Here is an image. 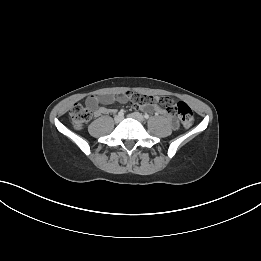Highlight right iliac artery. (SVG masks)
<instances>
[{
  "mask_svg": "<svg viewBox=\"0 0 261 261\" xmlns=\"http://www.w3.org/2000/svg\"><path fill=\"white\" fill-rule=\"evenodd\" d=\"M118 115L123 116V115H124V111L121 110V111L118 113Z\"/></svg>",
  "mask_w": 261,
  "mask_h": 261,
  "instance_id": "right-iliac-artery-1",
  "label": "right iliac artery"
}]
</instances>
